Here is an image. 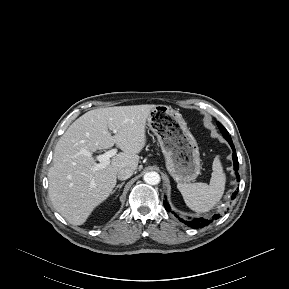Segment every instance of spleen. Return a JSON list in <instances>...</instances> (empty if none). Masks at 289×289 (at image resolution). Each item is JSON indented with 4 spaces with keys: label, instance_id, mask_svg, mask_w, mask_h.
Masks as SVG:
<instances>
[{
    "label": "spleen",
    "instance_id": "3e777b00",
    "mask_svg": "<svg viewBox=\"0 0 289 289\" xmlns=\"http://www.w3.org/2000/svg\"><path fill=\"white\" fill-rule=\"evenodd\" d=\"M210 183H178L177 188L181 192L186 205L195 212H207L223 196L226 176L219 159L215 157L212 165Z\"/></svg>",
    "mask_w": 289,
    "mask_h": 289
}]
</instances>
